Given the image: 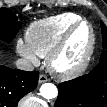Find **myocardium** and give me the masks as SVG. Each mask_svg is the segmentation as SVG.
Returning a JSON list of instances; mask_svg holds the SVG:
<instances>
[{
    "label": "myocardium",
    "mask_w": 107,
    "mask_h": 107,
    "mask_svg": "<svg viewBox=\"0 0 107 107\" xmlns=\"http://www.w3.org/2000/svg\"><path fill=\"white\" fill-rule=\"evenodd\" d=\"M82 25H86L90 31V40L87 49L84 52V55L82 56L81 60L75 66L67 70H60L56 66V61L60 57V55L64 52V50L67 48L68 43L71 37L73 36V34L75 33V31ZM95 42H96V36L92 24L85 19H80L76 21L64 32L59 42L47 55L46 64L48 70L57 78L63 80L71 79L80 75L86 69V67L90 62V59L94 52Z\"/></svg>",
    "instance_id": "1"
}]
</instances>
